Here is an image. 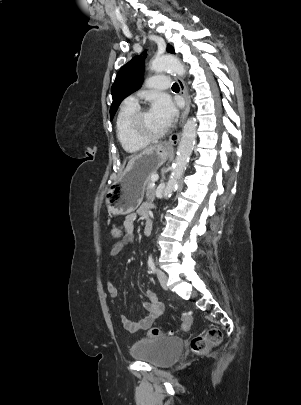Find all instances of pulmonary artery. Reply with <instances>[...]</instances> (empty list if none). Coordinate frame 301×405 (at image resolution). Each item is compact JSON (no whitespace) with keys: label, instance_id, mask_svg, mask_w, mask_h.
Listing matches in <instances>:
<instances>
[{"label":"pulmonary artery","instance_id":"e3ab8cb5","mask_svg":"<svg viewBox=\"0 0 301 405\" xmlns=\"http://www.w3.org/2000/svg\"><path fill=\"white\" fill-rule=\"evenodd\" d=\"M148 86L154 89H166L170 86V80L167 76L164 75H156L152 76L147 81ZM124 104L136 105L137 106V98L134 95H131L125 99Z\"/></svg>","mask_w":301,"mask_h":405}]
</instances>
